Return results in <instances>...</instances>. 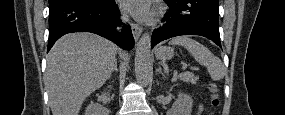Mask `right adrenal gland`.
I'll use <instances>...</instances> for the list:
<instances>
[{
	"label": "right adrenal gland",
	"instance_id": "2a0ac1e0",
	"mask_svg": "<svg viewBox=\"0 0 285 115\" xmlns=\"http://www.w3.org/2000/svg\"><path fill=\"white\" fill-rule=\"evenodd\" d=\"M114 71L118 72V69H117V61L114 63L113 70H112L111 74L109 75V78H108V79H110V77H111V75H112V73H113Z\"/></svg>",
	"mask_w": 285,
	"mask_h": 115
}]
</instances>
